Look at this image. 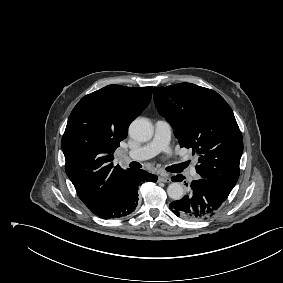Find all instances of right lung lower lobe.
Wrapping results in <instances>:
<instances>
[{"label":"right lung lower lobe","instance_id":"98d812e1","mask_svg":"<svg viewBox=\"0 0 283 283\" xmlns=\"http://www.w3.org/2000/svg\"><path fill=\"white\" fill-rule=\"evenodd\" d=\"M147 179L155 182L158 177L143 170H132L122 187L88 208L97 216L106 219L126 216L138 204V185Z\"/></svg>","mask_w":283,"mask_h":283}]
</instances>
